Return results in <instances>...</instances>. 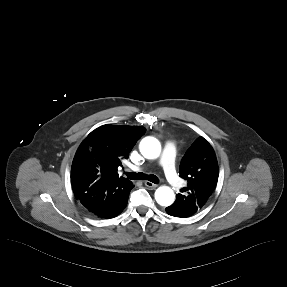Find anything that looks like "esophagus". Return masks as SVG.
Instances as JSON below:
<instances>
[{"mask_svg":"<svg viewBox=\"0 0 287 287\" xmlns=\"http://www.w3.org/2000/svg\"><path fill=\"white\" fill-rule=\"evenodd\" d=\"M147 187H149V188H152V189H155L158 185L157 184H154V183H152V182H150V181H145V183H144Z\"/></svg>","mask_w":287,"mask_h":287,"instance_id":"1","label":"esophagus"}]
</instances>
